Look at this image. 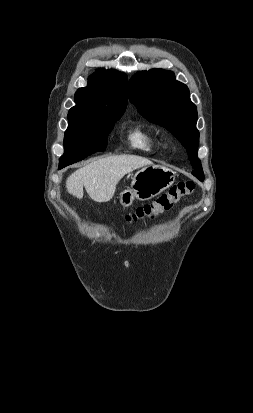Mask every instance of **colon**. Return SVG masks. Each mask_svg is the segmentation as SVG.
I'll return each mask as SVG.
<instances>
[{"label": "colon", "mask_w": 253, "mask_h": 413, "mask_svg": "<svg viewBox=\"0 0 253 413\" xmlns=\"http://www.w3.org/2000/svg\"><path fill=\"white\" fill-rule=\"evenodd\" d=\"M195 188L196 185L193 181H180L152 203L140 206L133 213L125 216V221L131 225L143 220L153 219L158 214L170 209L181 198L191 195Z\"/></svg>", "instance_id": "1"}]
</instances>
